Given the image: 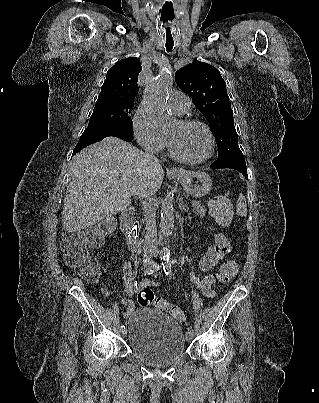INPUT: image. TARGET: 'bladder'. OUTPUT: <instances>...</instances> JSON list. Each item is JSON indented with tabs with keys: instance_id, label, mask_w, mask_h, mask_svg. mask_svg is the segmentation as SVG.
Returning <instances> with one entry per match:
<instances>
[{
	"instance_id": "31cf9c89",
	"label": "bladder",
	"mask_w": 319,
	"mask_h": 403,
	"mask_svg": "<svg viewBox=\"0 0 319 403\" xmlns=\"http://www.w3.org/2000/svg\"><path fill=\"white\" fill-rule=\"evenodd\" d=\"M126 336L134 356L152 367H167L186 353V337L180 324L155 309L140 308L132 312Z\"/></svg>"
}]
</instances>
